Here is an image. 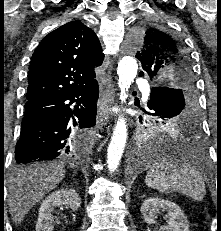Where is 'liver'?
Wrapping results in <instances>:
<instances>
[{
    "mask_svg": "<svg viewBox=\"0 0 221 231\" xmlns=\"http://www.w3.org/2000/svg\"><path fill=\"white\" fill-rule=\"evenodd\" d=\"M64 176L65 167L59 163L34 164L15 171L7 184L12 220L21 223L29 210L55 189Z\"/></svg>",
    "mask_w": 221,
    "mask_h": 231,
    "instance_id": "obj_1",
    "label": "liver"
}]
</instances>
